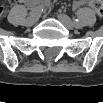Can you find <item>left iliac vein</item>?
Here are the masks:
<instances>
[{
  "instance_id": "left-iliac-vein-1",
  "label": "left iliac vein",
  "mask_w": 103,
  "mask_h": 103,
  "mask_svg": "<svg viewBox=\"0 0 103 103\" xmlns=\"http://www.w3.org/2000/svg\"><path fill=\"white\" fill-rule=\"evenodd\" d=\"M58 19L60 20V22L69 30H72L74 28V24L71 21V19L65 15V14H59L58 15Z\"/></svg>"
}]
</instances>
